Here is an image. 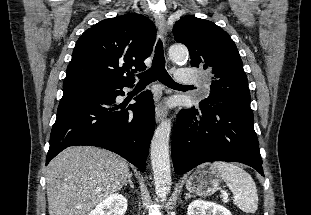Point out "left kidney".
Wrapping results in <instances>:
<instances>
[{"instance_id": "left-kidney-1", "label": "left kidney", "mask_w": 311, "mask_h": 215, "mask_svg": "<svg viewBox=\"0 0 311 215\" xmlns=\"http://www.w3.org/2000/svg\"><path fill=\"white\" fill-rule=\"evenodd\" d=\"M187 215H232L231 212L216 203L194 200L188 206Z\"/></svg>"}]
</instances>
